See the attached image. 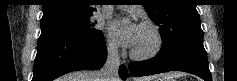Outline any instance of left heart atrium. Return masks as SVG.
Segmentation results:
<instances>
[{
  "mask_svg": "<svg viewBox=\"0 0 237 81\" xmlns=\"http://www.w3.org/2000/svg\"><path fill=\"white\" fill-rule=\"evenodd\" d=\"M112 33L124 46L133 48L140 30L136 22L116 21L112 24Z\"/></svg>",
  "mask_w": 237,
  "mask_h": 81,
  "instance_id": "obj_1",
  "label": "left heart atrium"
}]
</instances>
